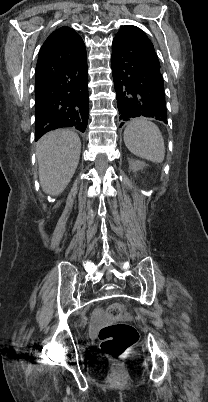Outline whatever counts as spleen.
I'll return each mask as SVG.
<instances>
[{"label":"spleen","mask_w":208,"mask_h":402,"mask_svg":"<svg viewBox=\"0 0 208 402\" xmlns=\"http://www.w3.org/2000/svg\"><path fill=\"white\" fill-rule=\"evenodd\" d=\"M124 142L128 150L143 160L161 164L165 158L163 136L156 124L146 118H135L124 130Z\"/></svg>","instance_id":"3e777b00"}]
</instances>
